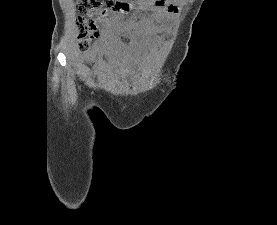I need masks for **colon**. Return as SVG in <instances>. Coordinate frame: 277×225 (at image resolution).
Segmentation results:
<instances>
[{
	"label": "colon",
	"mask_w": 277,
	"mask_h": 225,
	"mask_svg": "<svg viewBox=\"0 0 277 225\" xmlns=\"http://www.w3.org/2000/svg\"><path fill=\"white\" fill-rule=\"evenodd\" d=\"M131 5L121 0H77V9L80 12H94L104 16L109 12L126 13ZM78 34V47L85 50L90 40L96 37V26L87 16H79L76 20Z\"/></svg>",
	"instance_id": "colon-1"
}]
</instances>
